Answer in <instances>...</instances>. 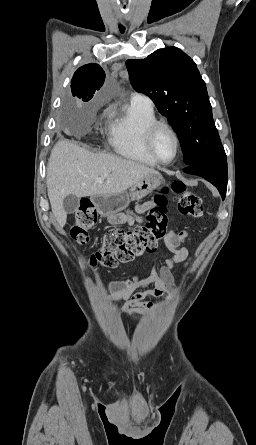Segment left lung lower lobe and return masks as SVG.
I'll return each instance as SVG.
<instances>
[{"label": "left lung lower lobe", "instance_id": "obj_1", "mask_svg": "<svg viewBox=\"0 0 256 445\" xmlns=\"http://www.w3.org/2000/svg\"><path fill=\"white\" fill-rule=\"evenodd\" d=\"M183 171L205 178L217 187L222 199L225 198L228 180L227 158L199 161L184 168Z\"/></svg>", "mask_w": 256, "mask_h": 445}]
</instances>
